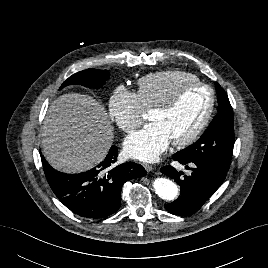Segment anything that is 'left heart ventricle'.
Returning <instances> with one entry per match:
<instances>
[{
  "label": "left heart ventricle",
  "instance_id": "1",
  "mask_svg": "<svg viewBox=\"0 0 268 268\" xmlns=\"http://www.w3.org/2000/svg\"><path fill=\"white\" fill-rule=\"evenodd\" d=\"M210 100V93L203 87H193L183 92L177 105L167 113L151 111L149 118L159 123L170 141L189 135L202 119Z\"/></svg>",
  "mask_w": 268,
  "mask_h": 268
}]
</instances>
